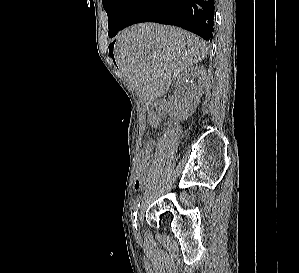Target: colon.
<instances>
[{"label": "colon", "instance_id": "colon-1", "mask_svg": "<svg viewBox=\"0 0 299 273\" xmlns=\"http://www.w3.org/2000/svg\"><path fill=\"white\" fill-rule=\"evenodd\" d=\"M152 146H153L152 142H151L150 140H147V141L145 142V144H144V148H143V150H144L145 152H149V151L152 150ZM144 173H146V171H145V169L143 168V166L140 164V167H139V169H138V171H137V174H136V177H135V178H136L137 180H139V179L141 178V176H142Z\"/></svg>", "mask_w": 299, "mask_h": 273}]
</instances>
